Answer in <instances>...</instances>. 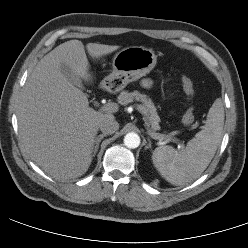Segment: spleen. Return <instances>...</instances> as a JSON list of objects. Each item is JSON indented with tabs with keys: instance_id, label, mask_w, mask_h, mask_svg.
I'll list each match as a JSON object with an SVG mask.
<instances>
[{
	"instance_id": "1",
	"label": "spleen",
	"mask_w": 248,
	"mask_h": 248,
	"mask_svg": "<svg viewBox=\"0 0 248 248\" xmlns=\"http://www.w3.org/2000/svg\"><path fill=\"white\" fill-rule=\"evenodd\" d=\"M224 108L217 99L209 109L206 124L186 147H157L152 161L161 176L172 185L182 186L199 178L213 159L221 142Z\"/></svg>"
}]
</instances>
